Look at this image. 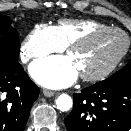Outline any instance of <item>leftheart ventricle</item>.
I'll return each instance as SVG.
<instances>
[{
    "instance_id": "left-heart-ventricle-1",
    "label": "left heart ventricle",
    "mask_w": 131,
    "mask_h": 131,
    "mask_svg": "<svg viewBox=\"0 0 131 131\" xmlns=\"http://www.w3.org/2000/svg\"><path fill=\"white\" fill-rule=\"evenodd\" d=\"M125 38L118 33H106L84 47L71 52L79 73H94L109 64L123 49Z\"/></svg>"
}]
</instances>
